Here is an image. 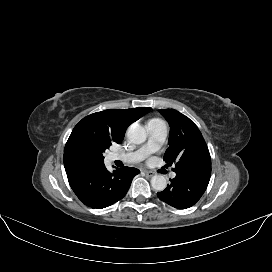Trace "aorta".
Segmentation results:
<instances>
[{
    "label": "aorta",
    "mask_w": 272,
    "mask_h": 272,
    "mask_svg": "<svg viewBox=\"0 0 272 272\" xmlns=\"http://www.w3.org/2000/svg\"><path fill=\"white\" fill-rule=\"evenodd\" d=\"M146 131L138 123L131 124L127 129V138L134 144H141L146 140ZM151 186L156 191H163L167 187V180L162 175H155L151 179Z\"/></svg>",
    "instance_id": "762f6f07"
}]
</instances>
